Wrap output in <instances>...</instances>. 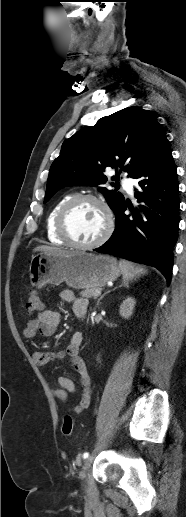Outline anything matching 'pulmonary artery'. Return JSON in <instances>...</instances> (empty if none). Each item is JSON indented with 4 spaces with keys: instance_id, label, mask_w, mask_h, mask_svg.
Here are the masks:
<instances>
[{
    "instance_id": "1",
    "label": "pulmonary artery",
    "mask_w": 186,
    "mask_h": 517,
    "mask_svg": "<svg viewBox=\"0 0 186 517\" xmlns=\"http://www.w3.org/2000/svg\"><path fill=\"white\" fill-rule=\"evenodd\" d=\"M122 184L129 195H133V181L130 178L124 177Z\"/></svg>"
}]
</instances>
